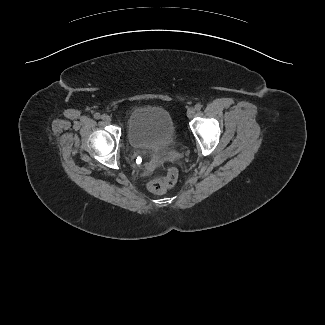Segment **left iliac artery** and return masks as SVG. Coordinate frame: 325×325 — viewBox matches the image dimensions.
Here are the masks:
<instances>
[{
  "mask_svg": "<svg viewBox=\"0 0 325 325\" xmlns=\"http://www.w3.org/2000/svg\"><path fill=\"white\" fill-rule=\"evenodd\" d=\"M201 108H202V105H201L200 103H197V104L195 105V109H196L197 111L201 110Z\"/></svg>",
  "mask_w": 325,
  "mask_h": 325,
  "instance_id": "left-iliac-artery-1",
  "label": "left iliac artery"
}]
</instances>
